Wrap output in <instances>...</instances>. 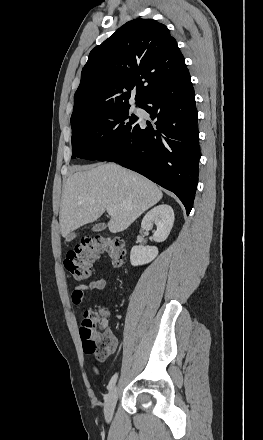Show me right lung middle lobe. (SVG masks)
<instances>
[{"label": "right lung middle lobe", "instance_id": "1", "mask_svg": "<svg viewBox=\"0 0 263 440\" xmlns=\"http://www.w3.org/2000/svg\"><path fill=\"white\" fill-rule=\"evenodd\" d=\"M129 107L123 104L94 111L72 122V158L98 159L108 147L122 141L138 124Z\"/></svg>", "mask_w": 263, "mask_h": 440}]
</instances>
